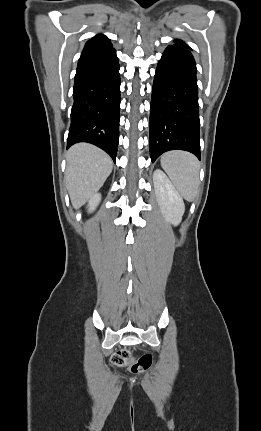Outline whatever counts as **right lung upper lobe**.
I'll list each match as a JSON object with an SVG mask.
<instances>
[{
    "instance_id": "obj_1",
    "label": "right lung upper lobe",
    "mask_w": 261,
    "mask_h": 431,
    "mask_svg": "<svg viewBox=\"0 0 261 431\" xmlns=\"http://www.w3.org/2000/svg\"><path fill=\"white\" fill-rule=\"evenodd\" d=\"M111 47H112V44L110 40L105 35L98 34L86 43L83 50L104 49V48H111Z\"/></svg>"
}]
</instances>
